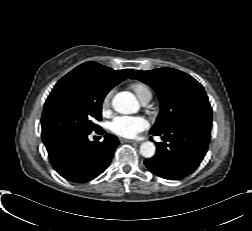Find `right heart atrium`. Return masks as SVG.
Returning a JSON list of instances; mask_svg holds the SVG:
<instances>
[{"label": "right heart atrium", "instance_id": "d8ad5b80", "mask_svg": "<svg viewBox=\"0 0 252 231\" xmlns=\"http://www.w3.org/2000/svg\"><path fill=\"white\" fill-rule=\"evenodd\" d=\"M115 89H110L103 97L101 103V109L103 112H107L111 107V100L114 95Z\"/></svg>", "mask_w": 252, "mask_h": 231}]
</instances>
